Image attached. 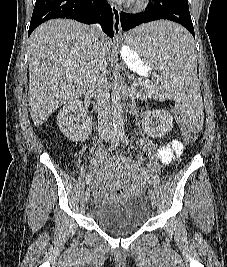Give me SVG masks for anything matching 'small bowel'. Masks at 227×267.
<instances>
[{"mask_svg":"<svg viewBox=\"0 0 227 267\" xmlns=\"http://www.w3.org/2000/svg\"><path fill=\"white\" fill-rule=\"evenodd\" d=\"M183 152V145L177 139L169 140L165 145L152 148L151 153L162 164L173 163ZM93 192L100 197L115 196L119 193V189L113 185L102 183L97 177L92 184Z\"/></svg>","mask_w":227,"mask_h":267,"instance_id":"1","label":"small bowel"}]
</instances>
